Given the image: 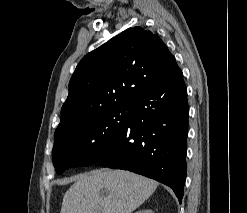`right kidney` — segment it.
Segmentation results:
<instances>
[{"mask_svg": "<svg viewBox=\"0 0 247 213\" xmlns=\"http://www.w3.org/2000/svg\"><path fill=\"white\" fill-rule=\"evenodd\" d=\"M135 213H154L151 209L138 210Z\"/></svg>", "mask_w": 247, "mask_h": 213, "instance_id": "right-kidney-1", "label": "right kidney"}]
</instances>
